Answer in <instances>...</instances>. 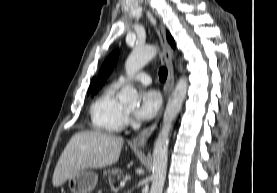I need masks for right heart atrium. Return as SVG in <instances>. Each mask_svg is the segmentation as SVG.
<instances>
[{
	"mask_svg": "<svg viewBox=\"0 0 277 193\" xmlns=\"http://www.w3.org/2000/svg\"><path fill=\"white\" fill-rule=\"evenodd\" d=\"M130 122V118L128 116H126V123Z\"/></svg>",
	"mask_w": 277,
	"mask_h": 193,
	"instance_id": "right-heart-atrium-1",
	"label": "right heart atrium"
}]
</instances>
